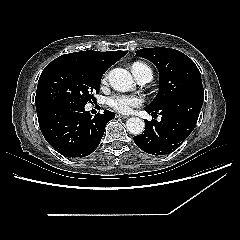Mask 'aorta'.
Listing matches in <instances>:
<instances>
[{"instance_id":"aorta-1","label":"aorta","mask_w":240,"mask_h":240,"mask_svg":"<svg viewBox=\"0 0 240 240\" xmlns=\"http://www.w3.org/2000/svg\"><path fill=\"white\" fill-rule=\"evenodd\" d=\"M111 87L120 92H126L133 87L131 74L123 68H114L108 74ZM126 127L131 134L139 135L144 131L145 123L138 117H131L126 121Z\"/></svg>"}]
</instances>
